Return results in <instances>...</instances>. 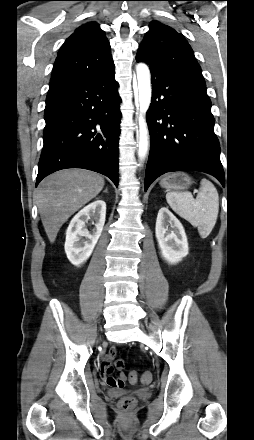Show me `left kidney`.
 Listing matches in <instances>:
<instances>
[{"mask_svg":"<svg viewBox=\"0 0 254 440\" xmlns=\"http://www.w3.org/2000/svg\"><path fill=\"white\" fill-rule=\"evenodd\" d=\"M155 235L161 256L169 264L179 263L189 248L185 230L171 211L162 207L157 215Z\"/></svg>","mask_w":254,"mask_h":440,"instance_id":"left-kidney-1","label":"left kidney"}]
</instances>
